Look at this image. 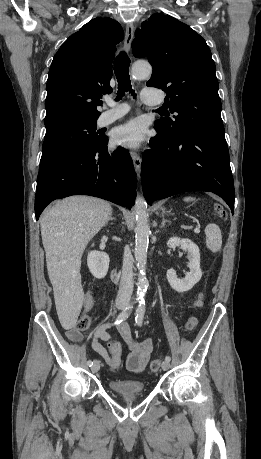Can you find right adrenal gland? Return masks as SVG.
Wrapping results in <instances>:
<instances>
[{
	"label": "right adrenal gland",
	"instance_id": "1",
	"mask_svg": "<svg viewBox=\"0 0 261 459\" xmlns=\"http://www.w3.org/2000/svg\"><path fill=\"white\" fill-rule=\"evenodd\" d=\"M112 220H115V218L112 217V214H111L110 217H109V219H108V221H107V223H108L109 221H112Z\"/></svg>",
	"mask_w": 261,
	"mask_h": 459
}]
</instances>
